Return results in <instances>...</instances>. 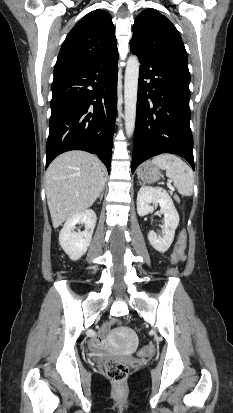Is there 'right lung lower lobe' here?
<instances>
[{
	"label": "right lung lower lobe",
	"instance_id": "1",
	"mask_svg": "<svg viewBox=\"0 0 233 413\" xmlns=\"http://www.w3.org/2000/svg\"><path fill=\"white\" fill-rule=\"evenodd\" d=\"M118 53L54 73L46 168L59 154H96L110 173Z\"/></svg>",
	"mask_w": 233,
	"mask_h": 413
}]
</instances>
